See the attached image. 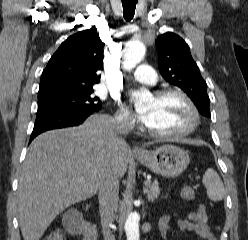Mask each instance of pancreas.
Here are the masks:
<instances>
[{
  "instance_id": "obj_1",
  "label": "pancreas",
  "mask_w": 248,
  "mask_h": 240,
  "mask_svg": "<svg viewBox=\"0 0 248 240\" xmlns=\"http://www.w3.org/2000/svg\"><path fill=\"white\" fill-rule=\"evenodd\" d=\"M146 185V188L144 189V192L147 194V198L150 201H154L159 195H160V188L158 185V182H148Z\"/></svg>"
}]
</instances>
